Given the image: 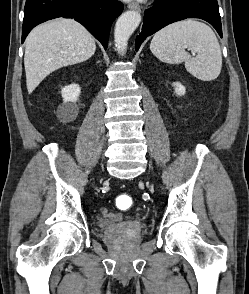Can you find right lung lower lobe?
<instances>
[{
  "instance_id": "right-lung-lower-lobe-1",
  "label": "right lung lower lobe",
  "mask_w": 249,
  "mask_h": 294,
  "mask_svg": "<svg viewBox=\"0 0 249 294\" xmlns=\"http://www.w3.org/2000/svg\"><path fill=\"white\" fill-rule=\"evenodd\" d=\"M122 11L117 0H26L22 43L36 25L63 16L81 23L107 49L111 24Z\"/></svg>"
}]
</instances>
